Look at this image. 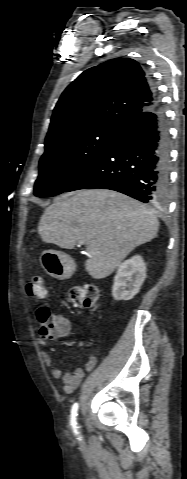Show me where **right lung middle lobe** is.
Segmentation results:
<instances>
[{
	"instance_id": "1",
	"label": "right lung middle lobe",
	"mask_w": 187,
	"mask_h": 479,
	"mask_svg": "<svg viewBox=\"0 0 187 479\" xmlns=\"http://www.w3.org/2000/svg\"><path fill=\"white\" fill-rule=\"evenodd\" d=\"M120 130L111 126H93L70 131L45 143L34 194L51 197L64 192L103 154Z\"/></svg>"
}]
</instances>
